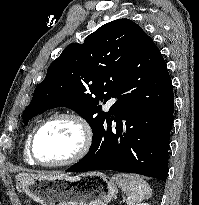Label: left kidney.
Here are the masks:
<instances>
[{"label": "left kidney", "mask_w": 199, "mask_h": 205, "mask_svg": "<svg viewBox=\"0 0 199 205\" xmlns=\"http://www.w3.org/2000/svg\"><path fill=\"white\" fill-rule=\"evenodd\" d=\"M136 205H150V204H147V203H141V204H136Z\"/></svg>", "instance_id": "1"}]
</instances>
